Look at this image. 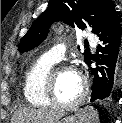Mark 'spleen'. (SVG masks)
I'll return each mask as SVG.
<instances>
[{
    "label": "spleen",
    "instance_id": "obj_1",
    "mask_svg": "<svg viewBox=\"0 0 122 123\" xmlns=\"http://www.w3.org/2000/svg\"><path fill=\"white\" fill-rule=\"evenodd\" d=\"M83 114L86 116L87 123H99L98 112L92 106L85 107Z\"/></svg>",
    "mask_w": 122,
    "mask_h": 123
}]
</instances>
